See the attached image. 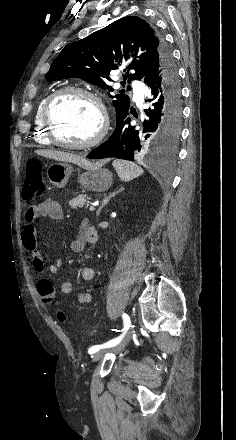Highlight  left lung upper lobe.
I'll return each instance as SVG.
<instances>
[{"label": "left lung upper lobe", "mask_w": 236, "mask_h": 440, "mask_svg": "<svg viewBox=\"0 0 236 440\" xmlns=\"http://www.w3.org/2000/svg\"><path fill=\"white\" fill-rule=\"evenodd\" d=\"M162 54H171L163 37L145 20L137 16L121 18L88 37L66 46L52 62L46 74L48 81L64 78H81L103 89L111 88L105 80L109 73L117 68L124 72L123 86L126 80L143 79L152 60ZM135 73L129 75V71ZM130 86L127 90H130ZM116 98L113 105L116 116L126 113L130 99L124 95Z\"/></svg>", "instance_id": "1"}]
</instances>
